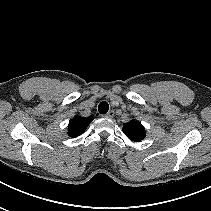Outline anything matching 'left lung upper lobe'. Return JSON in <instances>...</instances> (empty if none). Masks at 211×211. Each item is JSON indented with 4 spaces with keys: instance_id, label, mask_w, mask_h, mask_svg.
<instances>
[{
    "instance_id": "left-lung-upper-lobe-1",
    "label": "left lung upper lobe",
    "mask_w": 211,
    "mask_h": 211,
    "mask_svg": "<svg viewBox=\"0 0 211 211\" xmlns=\"http://www.w3.org/2000/svg\"><path fill=\"white\" fill-rule=\"evenodd\" d=\"M123 132L131 141H141L145 138L146 132L144 126L139 122L132 120L123 124Z\"/></svg>"
}]
</instances>
